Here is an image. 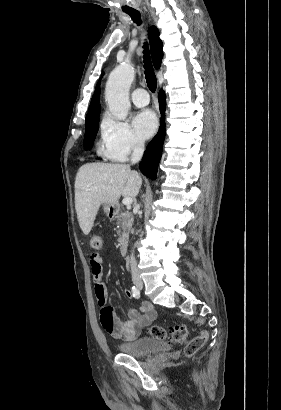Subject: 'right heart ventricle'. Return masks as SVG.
I'll list each match as a JSON object with an SVG mask.
<instances>
[{
	"label": "right heart ventricle",
	"mask_w": 281,
	"mask_h": 410,
	"mask_svg": "<svg viewBox=\"0 0 281 410\" xmlns=\"http://www.w3.org/2000/svg\"><path fill=\"white\" fill-rule=\"evenodd\" d=\"M97 152H98L99 155H105V148H104V143H103V141H100V142L98 143Z\"/></svg>",
	"instance_id": "1"
}]
</instances>
